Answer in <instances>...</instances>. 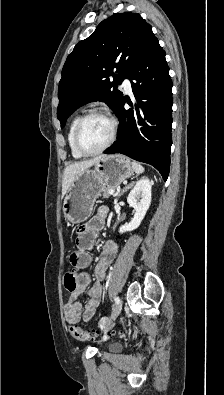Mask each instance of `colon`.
Masks as SVG:
<instances>
[{
	"instance_id": "obj_1",
	"label": "colon",
	"mask_w": 224,
	"mask_h": 395,
	"mask_svg": "<svg viewBox=\"0 0 224 395\" xmlns=\"http://www.w3.org/2000/svg\"><path fill=\"white\" fill-rule=\"evenodd\" d=\"M64 286L69 292H72L76 289L77 281L74 272L70 271L65 274ZM70 333L73 338L79 341H88L97 337L106 338L110 334L108 331L94 332L91 330H86L75 324L70 326Z\"/></svg>"
}]
</instances>
